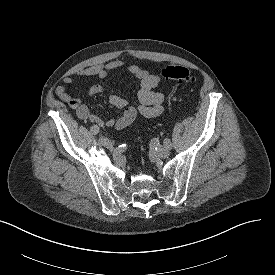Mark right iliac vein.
<instances>
[{
  "instance_id": "obj_1",
  "label": "right iliac vein",
  "mask_w": 275,
  "mask_h": 275,
  "mask_svg": "<svg viewBox=\"0 0 275 275\" xmlns=\"http://www.w3.org/2000/svg\"><path fill=\"white\" fill-rule=\"evenodd\" d=\"M100 142L104 147H106L108 149H113V144L111 143V141L108 138L101 137Z\"/></svg>"
}]
</instances>
